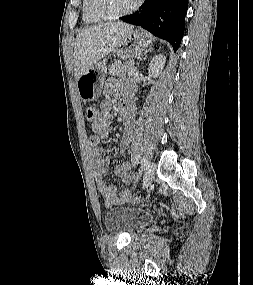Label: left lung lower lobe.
I'll list each match as a JSON object with an SVG mask.
<instances>
[{
	"label": "left lung lower lobe",
	"instance_id": "1",
	"mask_svg": "<svg viewBox=\"0 0 253 285\" xmlns=\"http://www.w3.org/2000/svg\"><path fill=\"white\" fill-rule=\"evenodd\" d=\"M187 8L188 0H146L135 14L120 19L169 41L176 51L183 37Z\"/></svg>",
	"mask_w": 253,
	"mask_h": 285
}]
</instances>
